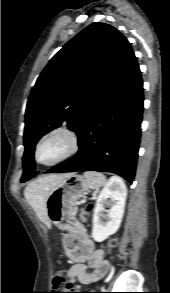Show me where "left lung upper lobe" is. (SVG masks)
Wrapping results in <instances>:
<instances>
[{
    "label": "left lung upper lobe",
    "instance_id": "obj_1",
    "mask_svg": "<svg viewBox=\"0 0 170 293\" xmlns=\"http://www.w3.org/2000/svg\"><path fill=\"white\" fill-rule=\"evenodd\" d=\"M132 52L116 28L95 22L50 60L27 103L21 182L38 173L34 150L40 137L62 124L78 135Z\"/></svg>",
    "mask_w": 170,
    "mask_h": 293
}]
</instances>
